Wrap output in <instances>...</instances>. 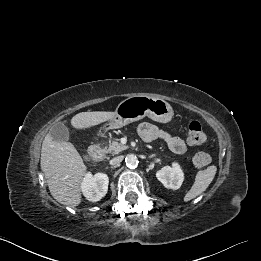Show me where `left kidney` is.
Listing matches in <instances>:
<instances>
[{
  "label": "left kidney",
  "mask_w": 261,
  "mask_h": 261,
  "mask_svg": "<svg viewBox=\"0 0 261 261\" xmlns=\"http://www.w3.org/2000/svg\"><path fill=\"white\" fill-rule=\"evenodd\" d=\"M156 177L166 188L173 190L179 189L184 180L183 171L178 163H173L172 167H163L156 173Z\"/></svg>",
  "instance_id": "1"
}]
</instances>
